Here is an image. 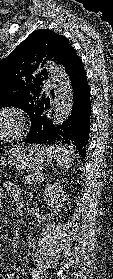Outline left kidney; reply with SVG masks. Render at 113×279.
I'll use <instances>...</instances> for the list:
<instances>
[{
    "label": "left kidney",
    "instance_id": "1",
    "mask_svg": "<svg viewBox=\"0 0 113 279\" xmlns=\"http://www.w3.org/2000/svg\"><path fill=\"white\" fill-rule=\"evenodd\" d=\"M66 198L63 185L60 182L50 184L43 193V200L53 208L55 214H60Z\"/></svg>",
    "mask_w": 113,
    "mask_h": 279
}]
</instances>
